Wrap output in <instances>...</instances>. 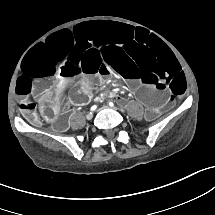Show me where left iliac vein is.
<instances>
[{
	"instance_id": "1",
	"label": "left iliac vein",
	"mask_w": 215,
	"mask_h": 215,
	"mask_svg": "<svg viewBox=\"0 0 215 215\" xmlns=\"http://www.w3.org/2000/svg\"><path fill=\"white\" fill-rule=\"evenodd\" d=\"M106 108H108V107H106V106H103V107H102V109H106Z\"/></svg>"
}]
</instances>
